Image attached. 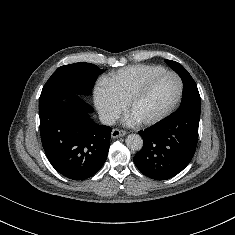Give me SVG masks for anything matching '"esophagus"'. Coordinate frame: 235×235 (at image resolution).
I'll return each mask as SVG.
<instances>
[{
  "mask_svg": "<svg viewBox=\"0 0 235 235\" xmlns=\"http://www.w3.org/2000/svg\"><path fill=\"white\" fill-rule=\"evenodd\" d=\"M127 134L126 131L124 130H119V129H113L111 132V137L112 138H118V137H123Z\"/></svg>",
  "mask_w": 235,
  "mask_h": 235,
  "instance_id": "1",
  "label": "esophagus"
}]
</instances>
